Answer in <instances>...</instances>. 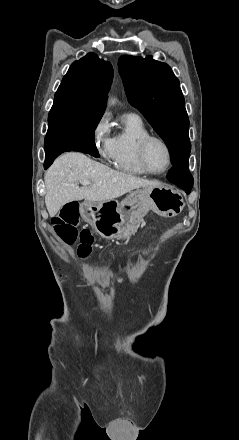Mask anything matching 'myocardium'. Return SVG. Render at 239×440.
<instances>
[{
    "instance_id": "obj_1",
    "label": "myocardium",
    "mask_w": 239,
    "mask_h": 440,
    "mask_svg": "<svg viewBox=\"0 0 239 440\" xmlns=\"http://www.w3.org/2000/svg\"><path fill=\"white\" fill-rule=\"evenodd\" d=\"M153 141H157L160 142L166 149L167 151V155H168V164L167 167L165 168V170L161 171V172H155L153 171L148 163L147 160V149L148 146L150 145L151 142ZM137 154H138V159L140 162V165L142 166V168L150 175L152 176H161L166 174L173 163V154H172V150L171 147L169 145V143L161 136L159 135H154V134H148L144 137H142L137 144Z\"/></svg>"
}]
</instances>
